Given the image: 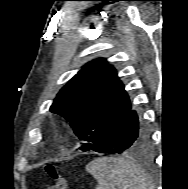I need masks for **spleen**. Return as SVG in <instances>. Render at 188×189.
I'll use <instances>...</instances> for the list:
<instances>
[{
  "label": "spleen",
  "mask_w": 188,
  "mask_h": 189,
  "mask_svg": "<svg viewBox=\"0 0 188 189\" xmlns=\"http://www.w3.org/2000/svg\"><path fill=\"white\" fill-rule=\"evenodd\" d=\"M86 170L97 180L96 189H151L146 174L122 158H97Z\"/></svg>",
  "instance_id": "3e777b00"
}]
</instances>
